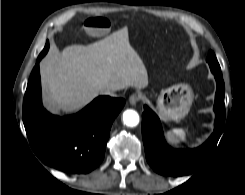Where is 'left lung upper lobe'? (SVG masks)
Listing matches in <instances>:
<instances>
[{"label": "left lung upper lobe", "instance_id": "1", "mask_svg": "<svg viewBox=\"0 0 245 195\" xmlns=\"http://www.w3.org/2000/svg\"><path fill=\"white\" fill-rule=\"evenodd\" d=\"M207 62L210 66L212 73H221V69H220L219 63L216 59L214 52L212 51L209 52L208 57H207Z\"/></svg>", "mask_w": 245, "mask_h": 195}]
</instances>
